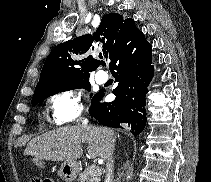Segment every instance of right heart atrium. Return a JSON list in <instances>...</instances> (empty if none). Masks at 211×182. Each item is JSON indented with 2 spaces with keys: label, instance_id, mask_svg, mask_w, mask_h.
I'll return each instance as SVG.
<instances>
[{
  "label": "right heart atrium",
  "instance_id": "d8ad5b80",
  "mask_svg": "<svg viewBox=\"0 0 211 182\" xmlns=\"http://www.w3.org/2000/svg\"><path fill=\"white\" fill-rule=\"evenodd\" d=\"M49 120L54 125H65L81 120L85 113L82 94L66 89L52 95L48 100Z\"/></svg>",
  "mask_w": 211,
  "mask_h": 182
}]
</instances>
